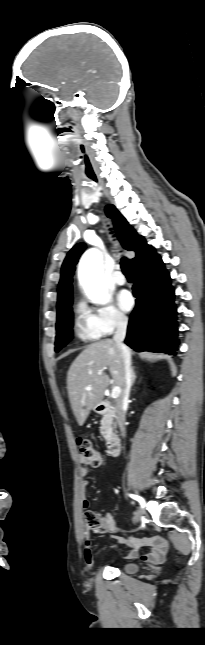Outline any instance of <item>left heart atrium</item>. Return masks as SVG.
I'll list each match as a JSON object with an SVG mask.
<instances>
[{"label": "left heart atrium", "mask_w": 205, "mask_h": 645, "mask_svg": "<svg viewBox=\"0 0 205 645\" xmlns=\"http://www.w3.org/2000/svg\"><path fill=\"white\" fill-rule=\"evenodd\" d=\"M118 302H119L120 307L124 311L131 310L133 305H134V299H133L131 293L128 292V291L120 292V294L118 296Z\"/></svg>", "instance_id": "left-heart-atrium-1"}]
</instances>
